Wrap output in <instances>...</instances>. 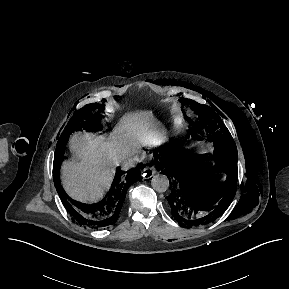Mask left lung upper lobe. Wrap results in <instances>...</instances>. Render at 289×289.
Instances as JSON below:
<instances>
[{"mask_svg":"<svg viewBox=\"0 0 289 289\" xmlns=\"http://www.w3.org/2000/svg\"><path fill=\"white\" fill-rule=\"evenodd\" d=\"M181 103L186 105L192 112L189 118L184 113L185 119L189 123V132L194 138L198 133L205 130L208 141L214 143V155L218 166L226 168L237 162V148L235 142L222 123L221 118L212 108L200 105L196 102L180 99ZM183 110V109H182Z\"/></svg>","mask_w":289,"mask_h":289,"instance_id":"5c2ea615","label":"left lung upper lobe"}]
</instances>
